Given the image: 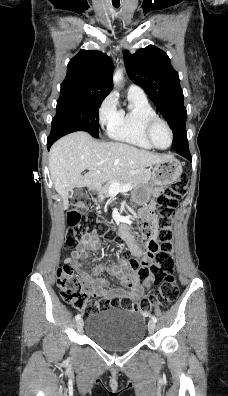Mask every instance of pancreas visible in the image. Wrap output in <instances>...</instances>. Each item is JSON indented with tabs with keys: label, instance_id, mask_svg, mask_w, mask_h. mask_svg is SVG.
Listing matches in <instances>:
<instances>
[{
	"label": "pancreas",
	"instance_id": "pancreas-1",
	"mask_svg": "<svg viewBox=\"0 0 228 396\" xmlns=\"http://www.w3.org/2000/svg\"><path fill=\"white\" fill-rule=\"evenodd\" d=\"M148 181V175L146 173V170H142L140 172L137 173H129V174H125L115 180H111L108 181L107 184L105 186H103L101 192L103 194V198L104 197H108L112 194L111 192V187L112 184L114 183H118L121 186L125 185V184H130L132 188L138 187L141 184H144Z\"/></svg>",
	"mask_w": 228,
	"mask_h": 396
}]
</instances>
